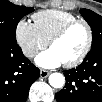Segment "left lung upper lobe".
Masks as SVG:
<instances>
[{
  "label": "left lung upper lobe",
  "instance_id": "obj_1",
  "mask_svg": "<svg viewBox=\"0 0 102 102\" xmlns=\"http://www.w3.org/2000/svg\"><path fill=\"white\" fill-rule=\"evenodd\" d=\"M80 13L92 29L93 39L91 49L102 46V17L88 9H82Z\"/></svg>",
  "mask_w": 102,
  "mask_h": 102
}]
</instances>
